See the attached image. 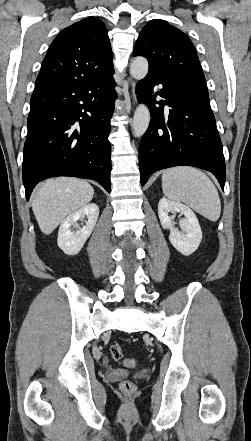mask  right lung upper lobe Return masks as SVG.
Segmentation results:
<instances>
[{
    "mask_svg": "<svg viewBox=\"0 0 251 441\" xmlns=\"http://www.w3.org/2000/svg\"><path fill=\"white\" fill-rule=\"evenodd\" d=\"M113 54L105 24L90 17L63 29L51 43L35 87L74 83L112 70Z\"/></svg>",
    "mask_w": 251,
    "mask_h": 441,
    "instance_id": "cb5924a9",
    "label": "right lung upper lobe"
}]
</instances>
